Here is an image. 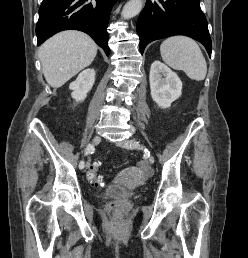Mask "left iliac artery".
<instances>
[{"mask_svg":"<svg viewBox=\"0 0 248 258\" xmlns=\"http://www.w3.org/2000/svg\"><path fill=\"white\" fill-rule=\"evenodd\" d=\"M144 152L147 154V155H150V152L148 151V149H144Z\"/></svg>","mask_w":248,"mask_h":258,"instance_id":"44dca946","label":"left iliac artery"}]
</instances>
